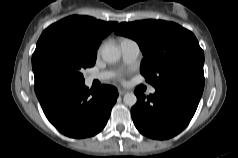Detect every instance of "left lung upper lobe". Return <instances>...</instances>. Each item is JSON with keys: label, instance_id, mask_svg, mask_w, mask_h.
Masks as SVG:
<instances>
[{"label": "left lung upper lobe", "instance_id": "obj_1", "mask_svg": "<svg viewBox=\"0 0 238 158\" xmlns=\"http://www.w3.org/2000/svg\"><path fill=\"white\" fill-rule=\"evenodd\" d=\"M118 35L134 39L144 55L141 74L155 88L192 76L204 77V52L192 32L162 20L123 22Z\"/></svg>", "mask_w": 238, "mask_h": 158}]
</instances>
